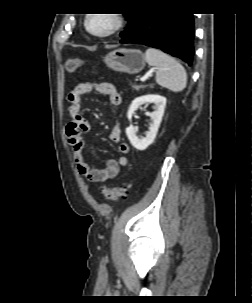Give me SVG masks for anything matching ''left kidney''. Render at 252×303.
I'll return each instance as SVG.
<instances>
[{
  "mask_svg": "<svg viewBox=\"0 0 252 303\" xmlns=\"http://www.w3.org/2000/svg\"><path fill=\"white\" fill-rule=\"evenodd\" d=\"M153 103L154 111L146 115L150 116L151 123L149 124V131L146 133L145 138H138L136 135V129L133 125H130L126 128V135L132 144L137 150H145L149 145H151L156 138L160 123L162 121V117L164 114L165 106H166V98L160 95H144L137 97L134 99L128 109L127 118L131 121L134 112L143 104Z\"/></svg>",
  "mask_w": 252,
  "mask_h": 303,
  "instance_id": "obj_1",
  "label": "left kidney"
}]
</instances>
